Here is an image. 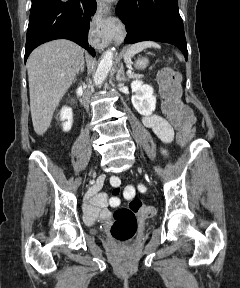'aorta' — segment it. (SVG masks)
Listing matches in <instances>:
<instances>
[{"label":"aorta","instance_id":"1","mask_svg":"<svg viewBox=\"0 0 240 288\" xmlns=\"http://www.w3.org/2000/svg\"><path fill=\"white\" fill-rule=\"evenodd\" d=\"M114 48L108 49L102 56L97 70L93 76L95 85H101L111 70Z\"/></svg>","mask_w":240,"mask_h":288}]
</instances>
